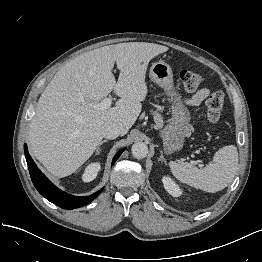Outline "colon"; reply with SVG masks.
Instances as JSON below:
<instances>
[{"label": "colon", "instance_id": "5ec220e1", "mask_svg": "<svg viewBox=\"0 0 262 262\" xmlns=\"http://www.w3.org/2000/svg\"><path fill=\"white\" fill-rule=\"evenodd\" d=\"M179 78L187 91L193 92L200 89L205 79L195 71L183 69L179 72ZM206 118L209 123L217 124L220 120L224 106V94L222 91H212L205 100Z\"/></svg>", "mask_w": 262, "mask_h": 262}]
</instances>
